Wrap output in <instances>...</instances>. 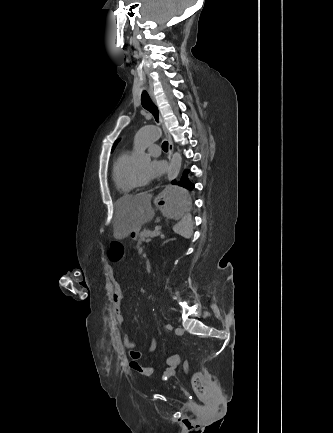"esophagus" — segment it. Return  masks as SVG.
I'll return each mask as SVG.
<instances>
[{"mask_svg": "<svg viewBox=\"0 0 333 433\" xmlns=\"http://www.w3.org/2000/svg\"><path fill=\"white\" fill-rule=\"evenodd\" d=\"M150 96H151L152 100L155 101L151 92H150ZM160 125H161L163 133L165 134V136L168 140V159L170 161L171 157H172L173 150H174V145H173L171 135L165 126L164 119L162 118V116H160Z\"/></svg>", "mask_w": 333, "mask_h": 433, "instance_id": "esophagus-1", "label": "esophagus"}]
</instances>
